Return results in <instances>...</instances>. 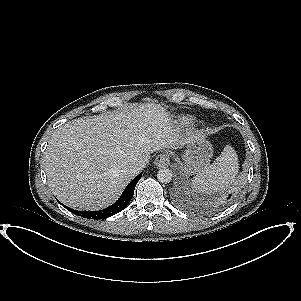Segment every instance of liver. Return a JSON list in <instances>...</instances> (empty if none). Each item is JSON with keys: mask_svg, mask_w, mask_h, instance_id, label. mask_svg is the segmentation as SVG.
<instances>
[{"mask_svg": "<svg viewBox=\"0 0 301 301\" xmlns=\"http://www.w3.org/2000/svg\"><path fill=\"white\" fill-rule=\"evenodd\" d=\"M169 114L151 105L74 119L56 129L44 154L48 185L63 204L94 211L113 204L136 173L162 149L187 144Z\"/></svg>", "mask_w": 301, "mask_h": 301, "instance_id": "liver-1", "label": "liver"}]
</instances>
